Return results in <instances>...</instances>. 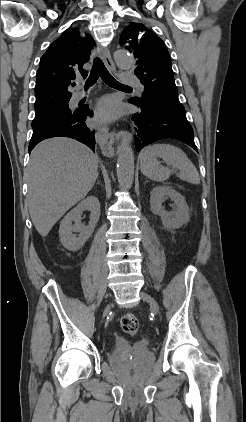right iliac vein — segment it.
Returning <instances> with one entry per match:
<instances>
[{
  "instance_id": "1",
  "label": "right iliac vein",
  "mask_w": 246,
  "mask_h": 422,
  "mask_svg": "<svg viewBox=\"0 0 246 422\" xmlns=\"http://www.w3.org/2000/svg\"><path fill=\"white\" fill-rule=\"evenodd\" d=\"M109 308H110V305H108V306L106 307V309H105V313H107V311L109 310Z\"/></svg>"
}]
</instances>
